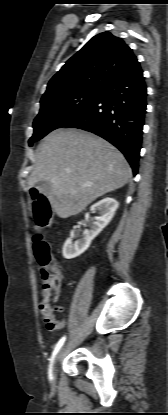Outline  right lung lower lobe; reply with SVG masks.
Listing matches in <instances>:
<instances>
[{
    "instance_id": "1",
    "label": "right lung lower lobe",
    "mask_w": 168,
    "mask_h": 415,
    "mask_svg": "<svg viewBox=\"0 0 168 415\" xmlns=\"http://www.w3.org/2000/svg\"><path fill=\"white\" fill-rule=\"evenodd\" d=\"M146 85L140 64L113 80L91 105L66 121L72 127L95 133L117 147L138 171L142 129L146 113Z\"/></svg>"
}]
</instances>
